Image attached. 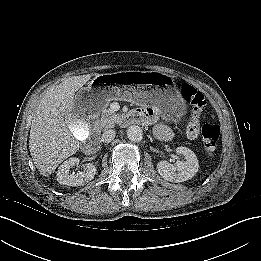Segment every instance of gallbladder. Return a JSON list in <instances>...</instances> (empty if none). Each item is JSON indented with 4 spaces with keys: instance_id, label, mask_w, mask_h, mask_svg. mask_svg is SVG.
Here are the masks:
<instances>
[{
    "instance_id": "gallbladder-1",
    "label": "gallbladder",
    "mask_w": 261,
    "mask_h": 261,
    "mask_svg": "<svg viewBox=\"0 0 261 261\" xmlns=\"http://www.w3.org/2000/svg\"><path fill=\"white\" fill-rule=\"evenodd\" d=\"M64 122L75 139L83 141L88 137L90 128L83 120L69 114L65 117Z\"/></svg>"
}]
</instances>
